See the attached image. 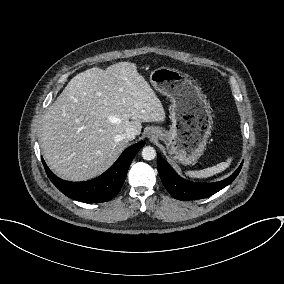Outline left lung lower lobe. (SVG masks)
<instances>
[{
	"label": "left lung lower lobe",
	"mask_w": 284,
	"mask_h": 284,
	"mask_svg": "<svg viewBox=\"0 0 284 284\" xmlns=\"http://www.w3.org/2000/svg\"><path fill=\"white\" fill-rule=\"evenodd\" d=\"M243 163L228 178L214 183H195L187 181L176 174L172 167L161 157L157 156V167L162 183L167 191L178 200H194L209 197L229 185L239 174Z\"/></svg>",
	"instance_id": "1"
}]
</instances>
